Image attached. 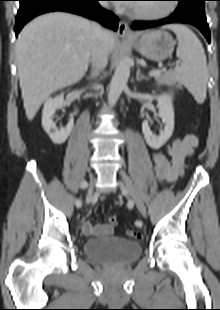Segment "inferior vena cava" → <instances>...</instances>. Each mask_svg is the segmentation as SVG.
Returning <instances> with one entry per match:
<instances>
[{"label":"inferior vena cava","mask_w":220,"mask_h":310,"mask_svg":"<svg viewBox=\"0 0 220 310\" xmlns=\"http://www.w3.org/2000/svg\"><path fill=\"white\" fill-rule=\"evenodd\" d=\"M103 7H107L106 3H101ZM91 63L93 67L92 77H97L107 63L109 50L107 45V31L103 30L101 26L93 22L91 23Z\"/></svg>","instance_id":"obj_1"}]
</instances>
